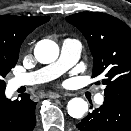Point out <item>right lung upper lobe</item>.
Instances as JSON below:
<instances>
[{
    "label": "right lung upper lobe",
    "instance_id": "right-lung-upper-lobe-1",
    "mask_svg": "<svg viewBox=\"0 0 131 131\" xmlns=\"http://www.w3.org/2000/svg\"><path fill=\"white\" fill-rule=\"evenodd\" d=\"M50 17L0 16V53L19 54L26 36Z\"/></svg>",
    "mask_w": 131,
    "mask_h": 131
}]
</instances>
